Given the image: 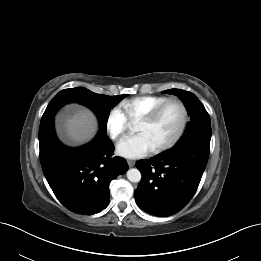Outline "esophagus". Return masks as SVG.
<instances>
[{"mask_svg": "<svg viewBox=\"0 0 261 261\" xmlns=\"http://www.w3.org/2000/svg\"><path fill=\"white\" fill-rule=\"evenodd\" d=\"M127 163L129 165V167H133L135 165V162L132 160H128Z\"/></svg>", "mask_w": 261, "mask_h": 261, "instance_id": "1", "label": "esophagus"}]
</instances>
